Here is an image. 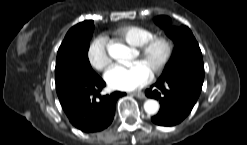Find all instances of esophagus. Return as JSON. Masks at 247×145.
Segmentation results:
<instances>
[{
	"label": "esophagus",
	"instance_id": "esophagus-1",
	"mask_svg": "<svg viewBox=\"0 0 247 145\" xmlns=\"http://www.w3.org/2000/svg\"><path fill=\"white\" fill-rule=\"evenodd\" d=\"M132 94L139 99L145 98V94L142 91H136V92H133Z\"/></svg>",
	"mask_w": 247,
	"mask_h": 145
}]
</instances>
